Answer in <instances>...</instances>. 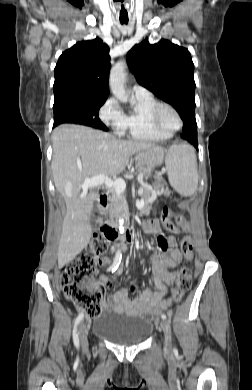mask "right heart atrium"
<instances>
[{
    "label": "right heart atrium",
    "mask_w": 252,
    "mask_h": 390,
    "mask_svg": "<svg viewBox=\"0 0 252 390\" xmlns=\"http://www.w3.org/2000/svg\"><path fill=\"white\" fill-rule=\"evenodd\" d=\"M99 117L104 124L110 126L117 134L124 131V113L115 98H108L99 110Z\"/></svg>",
    "instance_id": "right-heart-atrium-1"
}]
</instances>
